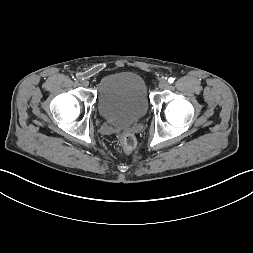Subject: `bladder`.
Segmentation results:
<instances>
[{"mask_svg": "<svg viewBox=\"0 0 253 253\" xmlns=\"http://www.w3.org/2000/svg\"><path fill=\"white\" fill-rule=\"evenodd\" d=\"M100 116L116 125H129L143 118L149 108L146 84L141 76L120 72L105 76L97 88Z\"/></svg>", "mask_w": 253, "mask_h": 253, "instance_id": "bladder-1", "label": "bladder"}]
</instances>
